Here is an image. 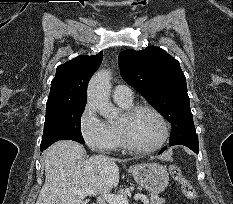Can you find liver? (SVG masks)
Listing matches in <instances>:
<instances>
[{
  "instance_id": "6515ba94",
  "label": "liver",
  "mask_w": 233,
  "mask_h": 204,
  "mask_svg": "<svg viewBox=\"0 0 233 204\" xmlns=\"http://www.w3.org/2000/svg\"><path fill=\"white\" fill-rule=\"evenodd\" d=\"M45 166V183L36 204H87L70 188H89L96 194H109L119 183L116 159L94 155L86 156L82 145L61 140L42 154Z\"/></svg>"
}]
</instances>
